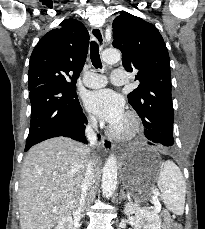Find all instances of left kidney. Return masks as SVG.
I'll return each mask as SVG.
<instances>
[{
	"instance_id": "5707ae66",
	"label": "left kidney",
	"mask_w": 205,
	"mask_h": 229,
	"mask_svg": "<svg viewBox=\"0 0 205 229\" xmlns=\"http://www.w3.org/2000/svg\"><path fill=\"white\" fill-rule=\"evenodd\" d=\"M124 212L126 215L135 214L134 229H161V219L156 212L150 208L139 206V202H129L125 204Z\"/></svg>"
}]
</instances>
